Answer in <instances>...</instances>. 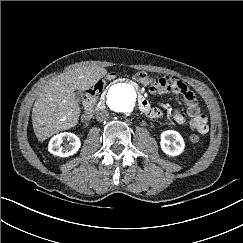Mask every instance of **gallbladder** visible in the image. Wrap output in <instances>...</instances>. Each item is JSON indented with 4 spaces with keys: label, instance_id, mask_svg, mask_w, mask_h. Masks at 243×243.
<instances>
[{
    "label": "gallbladder",
    "instance_id": "obj_1",
    "mask_svg": "<svg viewBox=\"0 0 243 243\" xmlns=\"http://www.w3.org/2000/svg\"><path fill=\"white\" fill-rule=\"evenodd\" d=\"M75 96L77 100H80L82 97V93L80 91L75 92Z\"/></svg>",
    "mask_w": 243,
    "mask_h": 243
}]
</instances>
